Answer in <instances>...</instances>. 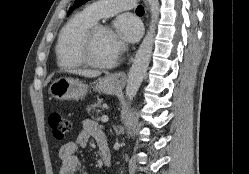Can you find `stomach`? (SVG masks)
<instances>
[{
	"label": "stomach",
	"instance_id": "1",
	"mask_svg": "<svg viewBox=\"0 0 249 174\" xmlns=\"http://www.w3.org/2000/svg\"><path fill=\"white\" fill-rule=\"evenodd\" d=\"M93 90L114 95L120 90V85L113 76L108 75L94 83ZM89 90V86L78 79L59 78L53 81L49 87L50 94L56 99L71 100L84 97Z\"/></svg>",
	"mask_w": 249,
	"mask_h": 174
}]
</instances>
